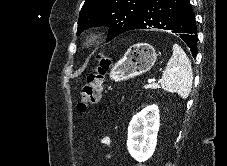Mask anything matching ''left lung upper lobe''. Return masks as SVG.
<instances>
[{"label":"left lung upper lobe","instance_id":"left-lung-upper-lobe-1","mask_svg":"<svg viewBox=\"0 0 227 166\" xmlns=\"http://www.w3.org/2000/svg\"><path fill=\"white\" fill-rule=\"evenodd\" d=\"M147 0H86L79 15L77 35L96 26H110L107 41L133 30Z\"/></svg>","mask_w":227,"mask_h":166}]
</instances>
